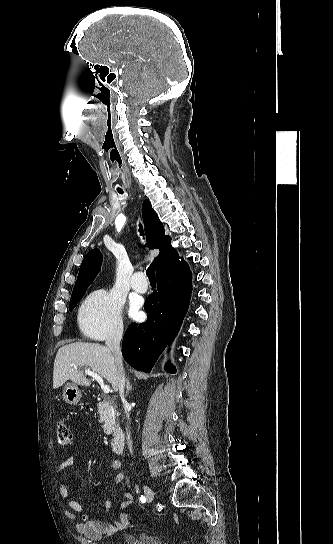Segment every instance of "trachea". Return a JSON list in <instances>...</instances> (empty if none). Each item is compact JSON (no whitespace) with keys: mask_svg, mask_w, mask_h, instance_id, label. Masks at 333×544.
Segmentation results:
<instances>
[{"mask_svg":"<svg viewBox=\"0 0 333 544\" xmlns=\"http://www.w3.org/2000/svg\"><path fill=\"white\" fill-rule=\"evenodd\" d=\"M118 192L120 194H123V191L122 190H118ZM139 232L141 235H143V230H142V225L140 224L139 225ZM146 274L150 280V282H156V278H155V266H154V262H152L150 264V266L148 267L147 271H146Z\"/></svg>","mask_w":333,"mask_h":544,"instance_id":"obj_1","label":"trachea"}]
</instances>
